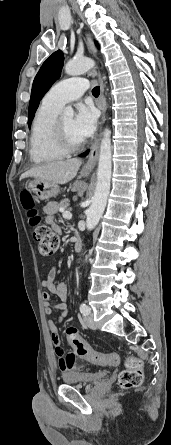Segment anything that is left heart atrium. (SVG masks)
Segmentation results:
<instances>
[{
  "mask_svg": "<svg viewBox=\"0 0 171 445\" xmlns=\"http://www.w3.org/2000/svg\"><path fill=\"white\" fill-rule=\"evenodd\" d=\"M97 126V111L92 106L79 105L73 119L75 133L82 139L90 137Z\"/></svg>",
  "mask_w": 171,
  "mask_h": 445,
  "instance_id": "39dd6f15",
  "label": "left heart atrium"
}]
</instances>
